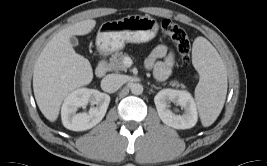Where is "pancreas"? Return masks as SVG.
Instances as JSON below:
<instances>
[{
    "label": "pancreas",
    "mask_w": 267,
    "mask_h": 166,
    "mask_svg": "<svg viewBox=\"0 0 267 166\" xmlns=\"http://www.w3.org/2000/svg\"><path fill=\"white\" fill-rule=\"evenodd\" d=\"M127 56L126 53L123 52H116L114 53L111 58L109 59V63L107 64V68L110 71H126L127 66L124 64V58ZM171 86L173 87H179L181 86L182 88H185V85L179 84L178 81H172L170 83Z\"/></svg>",
    "instance_id": "1"
}]
</instances>
